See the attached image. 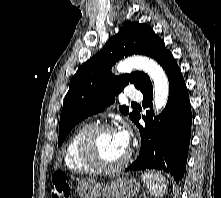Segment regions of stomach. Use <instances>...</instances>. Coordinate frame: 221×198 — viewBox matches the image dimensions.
Masks as SVG:
<instances>
[{"label": "stomach", "mask_w": 221, "mask_h": 198, "mask_svg": "<svg viewBox=\"0 0 221 198\" xmlns=\"http://www.w3.org/2000/svg\"><path fill=\"white\" fill-rule=\"evenodd\" d=\"M140 190V184L133 178L118 177L110 183H98L94 179L78 182L77 192L81 198H132Z\"/></svg>", "instance_id": "1"}]
</instances>
